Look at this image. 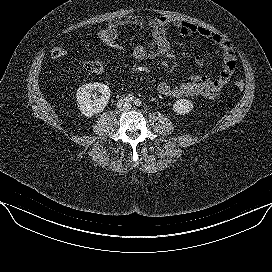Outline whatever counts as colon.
Here are the masks:
<instances>
[{"instance_id":"5ec220e1","label":"colon","mask_w":272,"mask_h":272,"mask_svg":"<svg viewBox=\"0 0 272 272\" xmlns=\"http://www.w3.org/2000/svg\"><path fill=\"white\" fill-rule=\"evenodd\" d=\"M97 39L104 46H107L116 50H122V51L127 49V45L118 34L109 32L105 29L97 33ZM65 55H66V50L62 47H55L51 51L52 59H60L64 57ZM84 68L86 71L90 73L99 74L103 72L104 64L100 60H91V61H87L84 64ZM143 80L148 81L150 80V77L149 76L143 77ZM235 87L238 90H242L244 88L243 81L237 80L235 82Z\"/></svg>"}]
</instances>
